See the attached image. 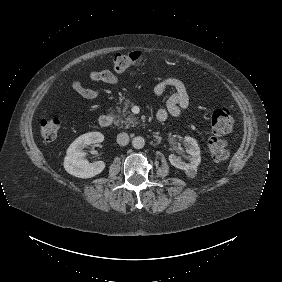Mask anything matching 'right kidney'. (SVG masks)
<instances>
[{"label":"right kidney","instance_id":"right-kidney-1","mask_svg":"<svg viewBox=\"0 0 282 282\" xmlns=\"http://www.w3.org/2000/svg\"><path fill=\"white\" fill-rule=\"evenodd\" d=\"M103 141L104 135L100 132H89L75 139L68 147L64 158L65 170L79 178H91L100 174L105 168V163L103 161L89 163L84 159L85 152L83 149L90 144Z\"/></svg>","mask_w":282,"mask_h":282}]
</instances>
